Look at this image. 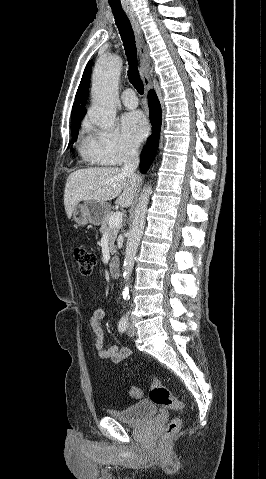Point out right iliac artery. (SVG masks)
I'll use <instances>...</instances> for the list:
<instances>
[{"label":"right iliac artery","instance_id":"82829eb1","mask_svg":"<svg viewBox=\"0 0 266 479\" xmlns=\"http://www.w3.org/2000/svg\"><path fill=\"white\" fill-rule=\"evenodd\" d=\"M127 326H128V317L123 316L118 323V331L120 333H124L127 329Z\"/></svg>","mask_w":266,"mask_h":479}]
</instances>
